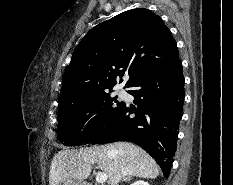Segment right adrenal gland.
Returning <instances> with one entry per match:
<instances>
[{
	"instance_id": "1",
	"label": "right adrenal gland",
	"mask_w": 233,
	"mask_h": 185,
	"mask_svg": "<svg viewBox=\"0 0 233 185\" xmlns=\"http://www.w3.org/2000/svg\"><path fill=\"white\" fill-rule=\"evenodd\" d=\"M131 178H132L131 176H127V177H124L122 181H125V182H126V181H130Z\"/></svg>"
}]
</instances>
